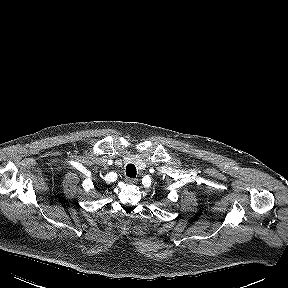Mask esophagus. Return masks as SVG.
Returning a JSON list of instances; mask_svg holds the SVG:
<instances>
[{
	"instance_id": "34e87169",
	"label": "esophagus",
	"mask_w": 288,
	"mask_h": 288,
	"mask_svg": "<svg viewBox=\"0 0 288 288\" xmlns=\"http://www.w3.org/2000/svg\"><path fill=\"white\" fill-rule=\"evenodd\" d=\"M126 183L128 184H136L137 183V179L136 178H130V177H127L125 179Z\"/></svg>"
}]
</instances>
